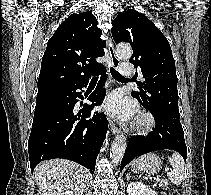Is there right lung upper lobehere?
Segmentation results:
<instances>
[{
    "instance_id": "right-lung-upper-lobe-1",
    "label": "right lung upper lobe",
    "mask_w": 211,
    "mask_h": 195,
    "mask_svg": "<svg viewBox=\"0 0 211 195\" xmlns=\"http://www.w3.org/2000/svg\"><path fill=\"white\" fill-rule=\"evenodd\" d=\"M90 11L70 15L47 43L38 79V92L53 87L89 80L103 65L102 30ZM98 70V71H97Z\"/></svg>"
}]
</instances>
